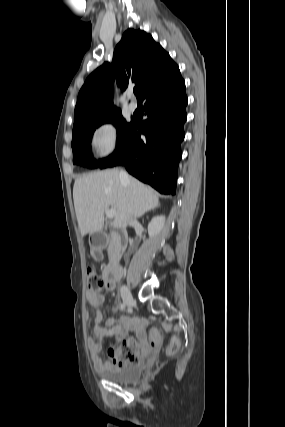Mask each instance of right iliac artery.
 Segmentation results:
<instances>
[{
	"mask_svg": "<svg viewBox=\"0 0 285 427\" xmlns=\"http://www.w3.org/2000/svg\"><path fill=\"white\" fill-rule=\"evenodd\" d=\"M120 308L123 310V309L125 308V304H124V303H121V304H120Z\"/></svg>",
	"mask_w": 285,
	"mask_h": 427,
	"instance_id": "right-iliac-artery-1",
	"label": "right iliac artery"
}]
</instances>
